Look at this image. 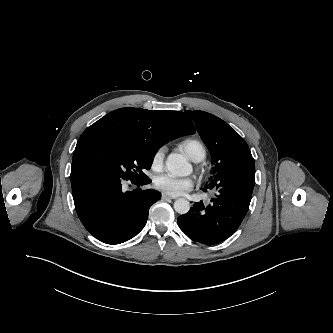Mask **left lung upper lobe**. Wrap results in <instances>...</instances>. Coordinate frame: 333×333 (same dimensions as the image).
<instances>
[{
    "label": "left lung upper lobe",
    "instance_id": "left-lung-upper-lobe-1",
    "mask_svg": "<svg viewBox=\"0 0 333 333\" xmlns=\"http://www.w3.org/2000/svg\"><path fill=\"white\" fill-rule=\"evenodd\" d=\"M185 112L194 120L201 139L212 155L214 167L211 181L228 162L250 153L243 138L217 116L203 111Z\"/></svg>",
    "mask_w": 333,
    "mask_h": 333
}]
</instances>
